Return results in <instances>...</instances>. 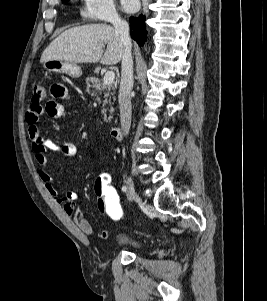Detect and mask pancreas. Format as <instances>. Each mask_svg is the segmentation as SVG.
<instances>
[{"mask_svg": "<svg viewBox=\"0 0 267 301\" xmlns=\"http://www.w3.org/2000/svg\"><path fill=\"white\" fill-rule=\"evenodd\" d=\"M87 84V91L91 93L92 96H98L101 95V93H104V100H103V108H102V114L104 115V121L108 122L112 118V116H107V111L109 110L110 113H113V101L116 100L115 98V90L116 85L114 83H111L109 85H105L101 82L100 79L96 77H88L86 79ZM108 104L109 108H105L104 106Z\"/></svg>", "mask_w": 267, "mask_h": 301, "instance_id": "1", "label": "pancreas"}]
</instances>
